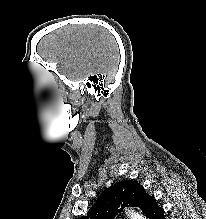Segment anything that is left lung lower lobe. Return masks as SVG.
Listing matches in <instances>:
<instances>
[{
  "label": "left lung lower lobe",
  "instance_id": "left-lung-lower-lobe-1",
  "mask_svg": "<svg viewBox=\"0 0 206 219\" xmlns=\"http://www.w3.org/2000/svg\"><path fill=\"white\" fill-rule=\"evenodd\" d=\"M146 216L148 219H164V210L157 205L155 198L152 199Z\"/></svg>",
  "mask_w": 206,
  "mask_h": 219
}]
</instances>
